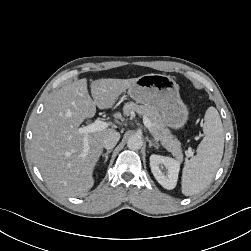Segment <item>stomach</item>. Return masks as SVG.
Here are the masks:
<instances>
[{
  "label": "stomach",
  "mask_w": 251,
  "mask_h": 251,
  "mask_svg": "<svg viewBox=\"0 0 251 251\" xmlns=\"http://www.w3.org/2000/svg\"><path fill=\"white\" fill-rule=\"evenodd\" d=\"M128 94L136 103L157 109L165 125L172 129H180L188 121V107L180 98L178 84L170 76L142 75L128 88Z\"/></svg>",
  "instance_id": "1"
}]
</instances>
